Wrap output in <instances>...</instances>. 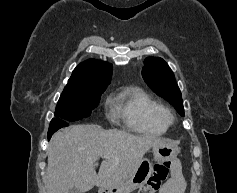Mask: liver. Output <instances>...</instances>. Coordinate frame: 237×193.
Instances as JSON below:
<instances>
[{"label": "liver", "mask_w": 237, "mask_h": 193, "mask_svg": "<svg viewBox=\"0 0 237 193\" xmlns=\"http://www.w3.org/2000/svg\"><path fill=\"white\" fill-rule=\"evenodd\" d=\"M166 140L136 136L117 129L105 130L97 124H79L54 134L48 148L45 176L47 193H68L77 188L81 193L94 186L118 183L139 165L144 154ZM101 156L98 174L95 162Z\"/></svg>", "instance_id": "6515ba94"}]
</instances>
